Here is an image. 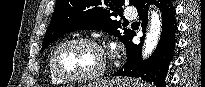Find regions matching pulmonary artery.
I'll return each instance as SVG.
<instances>
[{
    "label": "pulmonary artery",
    "mask_w": 205,
    "mask_h": 87,
    "mask_svg": "<svg viewBox=\"0 0 205 87\" xmlns=\"http://www.w3.org/2000/svg\"><path fill=\"white\" fill-rule=\"evenodd\" d=\"M125 16L127 17V18H134V16H135V11L133 10V9H131V8H127L126 10H125Z\"/></svg>",
    "instance_id": "1"
}]
</instances>
